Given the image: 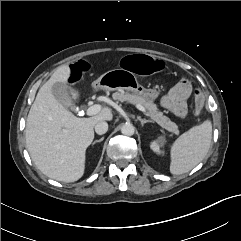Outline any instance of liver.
<instances>
[{
	"instance_id": "obj_1",
	"label": "liver",
	"mask_w": 241,
	"mask_h": 241,
	"mask_svg": "<svg viewBox=\"0 0 241 241\" xmlns=\"http://www.w3.org/2000/svg\"><path fill=\"white\" fill-rule=\"evenodd\" d=\"M71 69L60 66L39 89L26 122L25 138L28 152L36 167L47 177L62 182L79 180L85 170V153L94 139V127L113 118L103 108L89 118H77L60 104L52 93L56 83H67ZM74 99L79 93L71 90Z\"/></svg>"
}]
</instances>
